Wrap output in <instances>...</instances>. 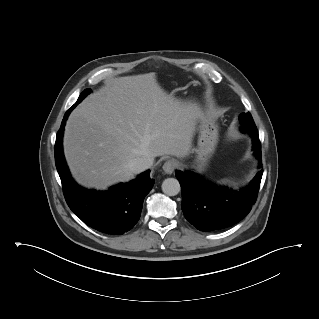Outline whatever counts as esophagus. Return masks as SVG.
Instances as JSON below:
<instances>
[{
    "label": "esophagus",
    "mask_w": 319,
    "mask_h": 319,
    "mask_svg": "<svg viewBox=\"0 0 319 319\" xmlns=\"http://www.w3.org/2000/svg\"><path fill=\"white\" fill-rule=\"evenodd\" d=\"M177 167V162L174 159L167 160L163 165V170L166 174H172Z\"/></svg>",
    "instance_id": "1"
}]
</instances>
